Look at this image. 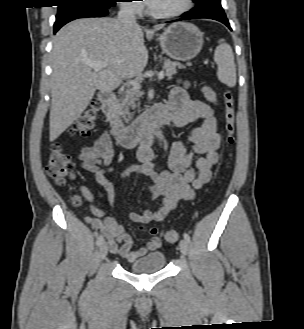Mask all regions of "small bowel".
Wrapping results in <instances>:
<instances>
[{
    "instance_id": "c3829d8e",
    "label": "small bowel",
    "mask_w": 304,
    "mask_h": 329,
    "mask_svg": "<svg viewBox=\"0 0 304 329\" xmlns=\"http://www.w3.org/2000/svg\"><path fill=\"white\" fill-rule=\"evenodd\" d=\"M188 82L172 88L169 93L167 106L173 114V124L184 127L197 119H202V125L191 129L183 139L173 143L169 157V170H156L150 161H141L139 164L128 166L120 178L125 179L133 172L150 175L153 182L149 187L150 198L155 200L163 197L162 205L158 210L143 213H131L130 219L135 223L148 224L162 221L180 200L194 198L195 190L200 189L212 178L211 168L219 161L218 149L221 137L217 131V122L211 104L217 102L216 93L209 86L202 91L209 103L190 98ZM195 156L198 158L195 160ZM84 170L94 173L98 188V197L106 195L110 204L115 200L113 183L107 174L113 171L112 161L114 150L110 131H104L95 139L93 144L85 146L78 154ZM104 164L105 168H101ZM83 197L90 203L92 217H86V222L99 230L106 239L107 247L112 254H118L128 262H132L144 254L157 251L162 246L158 237L152 238L145 247L133 249V239L123 227L110 216L97 208L94 204V195L87 187L80 188ZM104 191V193L102 192Z\"/></svg>"
}]
</instances>
